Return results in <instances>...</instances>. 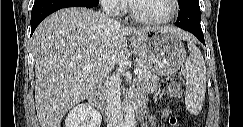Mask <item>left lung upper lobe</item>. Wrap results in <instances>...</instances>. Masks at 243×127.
I'll list each match as a JSON object with an SVG mask.
<instances>
[{
    "mask_svg": "<svg viewBox=\"0 0 243 127\" xmlns=\"http://www.w3.org/2000/svg\"><path fill=\"white\" fill-rule=\"evenodd\" d=\"M187 0H179V4L186 2Z\"/></svg>",
    "mask_w": 243,
    "mask_h": 127,
    "instance_id": "obj_1",
    "label": "left lung upper lobe"
}]
</instances>
